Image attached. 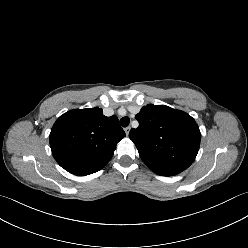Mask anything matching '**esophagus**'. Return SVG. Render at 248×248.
<instances>
[{"label":"esophagus","instance_id":"esophagus-1","mask_svg":"<svg viewBox=\"0 0 248 248\" xmlns=\"http://www.w3.org/2000/svg\"><path fill=\"white\" fill-rule=\"evenodd\" d=\"M130 129H131L130 127H126V128L124 129V131H125L126 135H128V134H129Z\"/></svg>","mask_w":248,"mask_h":248}]
</instances>
